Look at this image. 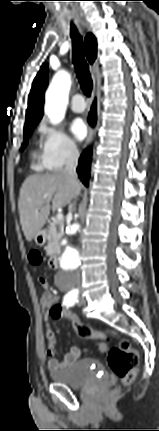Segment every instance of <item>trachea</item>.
Instances as JSON below:
<instances>
[{"instance_id": "obj_1", "label": "trachea", "mask_w": 159, "mask_h": 431, "mask_svg": "<svg viewBox=\"0 0 159 431\" xmlns=\"http://www.w3.org/2000/svg\"><path fill=\"white\" fill-rule=\"evenodd\" d=\"M71 38H72V56L73 63L76 69L78 81L84 94L88 97L91 95L93 82L89 72V66L85 60L83 39L77 32L74 24L71 23Z\"/></svg>"}]
</instances>
